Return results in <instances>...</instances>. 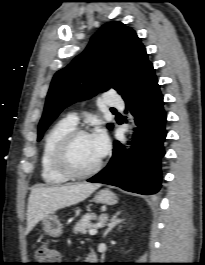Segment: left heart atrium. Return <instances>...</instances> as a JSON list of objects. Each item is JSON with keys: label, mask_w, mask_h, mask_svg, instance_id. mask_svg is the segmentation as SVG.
I'll return each instance as SVG.
<instances>
[{"label": "left heart atrium", "mask_w": 205, "mask_h": 265, "mask_svg": "<svg viewBox=\"0 0 205 265\" xmlns=\"http://www.w3.org/2000/svg\"><path fill=\"white\" fill-rule=\"evenodd\" d=\"M91 138L99 157L100 158L103 157L106 154L109 147V141L105 131L101 128H98L91 135Z\"/></svg>", "instance_id": "39dd6f15"}]
</instances>
